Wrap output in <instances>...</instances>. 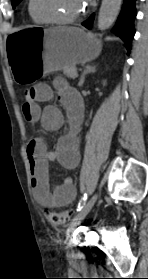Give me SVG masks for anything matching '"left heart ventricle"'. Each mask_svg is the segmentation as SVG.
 I'll list each match as a JSON object with an SVG mask.
<instances>
[{
	"label": "left heart ventricle",
	"mask_w": 148,
	"mask_h": 279,
	"mask_svg": "<svg viewBox=\"0 0 148 279\" xmlns=\"http://www.w3.org/2000/svg\"><path fill=\"white\" fill-rule=\"evenodd\" d=\"M37 11L55 18H69L83 9V0H36Z\"/></svg>",
	"instance_id": "1"
}]
</instances>
